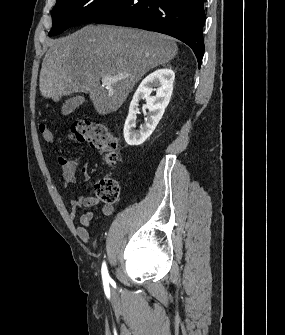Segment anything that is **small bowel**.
Listing matches in <instances>:
<instances>
[{
	"instance_id": "obj_1",
	"label": "small bowel",
	"mask_w": 285,
	"mask_h": 335,
	"mask_svg": "<svg viewBox=\"0 0 285 335\" xmlns=\"http://www.w3.org/2000/svg\"><path fill=\"white\" fill-rule=\"evenodd\" d=\"M58 162L61 167L64 188L69 189L76 183L78 172L81 173L84 181L90 180V173L88 165L86 163H84L79 168L75 162L68 160L64 157H60L58 159ZM98 205L99 200L92 196H80L74 198L71 201L70 218L72 220H75L78 216V210L81 208H91ZM113 211L114 208L112 205L104 204L103 206H101V212L106 216L111 215ZM92 220H93L92 212H85L79 216V226L77 228V234L83 242H89L90 240L89 227L92 223Z\"/></svg>"
}]
</instances>
